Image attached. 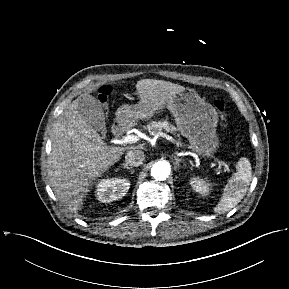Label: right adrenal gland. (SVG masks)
Wrapping results in <instances>:
<instances>
[{
	"mask_svg": "<svg viewBox=\"0 0 289 289\" xmlns=\"http://www.w3.org/2000/svg\"><path fill=\"white\" fill-rule=\"evenodd\" d=\"M122 167H123L124 169H128V170H130V171L132 170V167H129L128 164H125V163L122 164Z\"/></svg>",
	"mask_w": 289,
	"mask_h": 289,
	"instance_id": "obj_1",
	"label": "right adrenal gland"
}]
</instances>
